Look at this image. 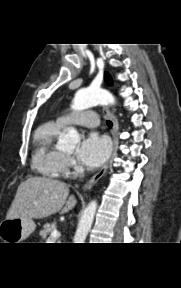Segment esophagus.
Returning a JSON list of instances; mask_svg holds the SVG:
<instances>
[{
  "label": "esophagus",
  "instance_id": "34e87169",
  "mask_svg": "<svg viewBox=\"0 0 181 288\" xmlns=\"http://www.w3.org/2000/svg\"><path fill=\"white\" fill-rule=\"evenodd\" d=\"M103 113L112 121L113 123V129H112V135H113V153L111 155V158L110 160L105 163L102 168L84 185L83 189L84 190H88V189H91L92 186L94 184L97 183V181L105 174L107 168H108V165H109V162L111 161L112 157H113V154H114V151H115V139H116V136H117V132H118V129H119V124H118V120L116 118V116L109 110V108L107 107H103Z\"/></svg>",
  "mask_w": 181,
  "mask_h": 288
}]
</instances>
